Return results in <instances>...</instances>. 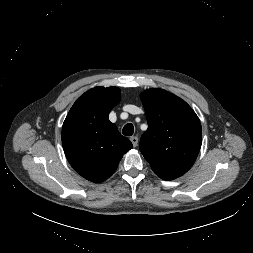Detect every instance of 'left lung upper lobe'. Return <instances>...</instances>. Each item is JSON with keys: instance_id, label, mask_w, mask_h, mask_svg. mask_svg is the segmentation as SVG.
<instances>
[{"instance_id": "1", "label": "left lung upper lobe", "mask_w": 253, "mask_h": 253, "mask_svg": "<svg viewBox=\"0 0 253 253\" xmlns=\"http://www.w3.org/2000/svg\"><path fill=\"white\" fill-rule=\"evenodd\" d=\"M148 129L139 149L152 170L164 180L185 174L197 158L202 144L200 120L179 97L159 88L141 94Z\"/></svg>"}]
</instances>
